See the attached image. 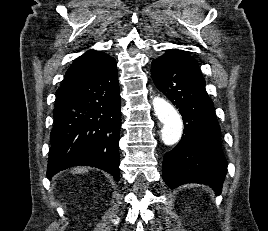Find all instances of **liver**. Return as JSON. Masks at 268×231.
<instances>
[{
  "label": "liver",
  "mask_w": 268,
  "mask_h": 231,
  "mask_svg": "<svg viewBox=\"0 0 268 231\" xmlns=\"http://www.w3.org/2000/svg\"><path fill=\"white\" fill-rule=\"evenodd\" d=\"M88 171V168L86 167H77V168H74L72 173L73 174H80V173H85Z\"/></svg>",
  "instance_id": "6515ba94"
}]
</instances>
